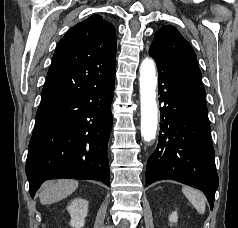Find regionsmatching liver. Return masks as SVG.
<instances>
[{
	"label": "liver",
	"instance_id": "obj_1",
	"mask_svg": "<svg viewBox=\"0 0 238 228\" xmlns=\"http://www.w3.org/2000/svg\"><path fill=\"white\" fill-rule=\"evenodd\" d=\"M78 184V181L75 180H58L45 183L39 194L41 204L49 205L68 197L77 189Z\"/></svg>",
	"mask_w": 238,
	"mask_h": 228
}]
</instances>
